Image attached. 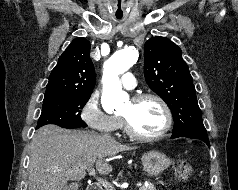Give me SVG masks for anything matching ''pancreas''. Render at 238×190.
I'll return each mask as SVG.
<instances>
[{
  "label": "pancreas",
  "mask_w": 238,
  "mask_h": 190,
  "mask_svg": "<svg viewBox=\"0 0 238 190\" xmlns=\"http://www.w3.org/2000/svg\"><path fill=\"white\" fill-rule=\"evenodd\" d=\"M101 190H113V189L109 187H105V189H101ZM140 190H156V188L154 187L153 184L150 183L148 186L140 187Z\"/></svg>",
  "instance_id": "1"
}]
</instances>
